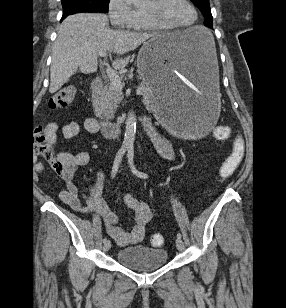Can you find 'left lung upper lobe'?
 Instances as JSON below:
<instances>
[{
    "label": "left lung upper lobe",
    "instance_id": "5c2ea615",
    "mask_svg": "<svg viewBox=\"0 0 286 308\" xmlns=\"http://www.w3.org/2000/svg\"><path fill=\"white\" fill-rule=\"evenodd\" d=\"M201 11L203 16L205 17L204 25L212 28L213 19L210 10L209 0H191Z\"/></svg>",
    "mask_w": 286,
    "mask_h": 308
}]
</instances>
